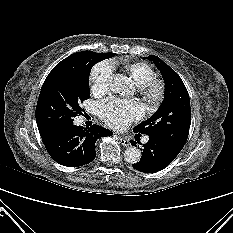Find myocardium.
<instances>
[{"mask_svg": "<svg viewBox=\"0 0 233 233\" xmlns=\"http://www.w3.org/2000/svg\"><path fill=\"white\" fill-rule=\"evenodd\" d=\"M139 90L144 98L151 104H157L164 95V86L161 81L151 79L139 85Z\"/></svg>", "mask_w": 233, "mask_h": 233, "instance_id": "obj_1", "label": "myocardium"}]
</instances>
